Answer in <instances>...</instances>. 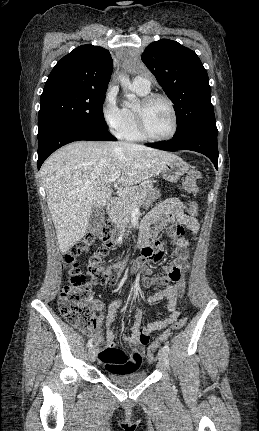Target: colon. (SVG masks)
Here are the masks:
<instances>
[{"instance_id":"1","label":"colon","mask_w":259,"mask_h":431,"mask_svg":"<svg viewBox=\"0 0 259 431\" xmlns=\"http://www.w3.org/2000/svg\"><path fill=\"white\" fill-rule=\"evenodd\" d=\"M201 173L196 168H192L184 181V188L187 192L196 194L198 192L197 181L200 180ZM189 215H198L199 207L194 202L189 203ZM176 235L184 233L182 225L173 227ZM100 242L101 245L92 253L86 261V274H84L78 264V258L91 245ZM116 240L114 227L111 223H105L94 232L87 234L80 242L70 248L63 255L62 264L68 275L67 282L60 289L58 298V308L64 318L73 326L83 330L91 331L98 326V319L93 313L94 305L90 300L92 284L106 285L115 283L124 267L126 260H122L112 265H104L103 259L115 246ZM164 257V251L157 242L150 243L141 249L142 261H160ZM89 278V280H88ZM186 323L185 318H179L165 330L148 348L147 361L152 362L156 351L163 342L169 340L173 333L181 330ZM150 334L142 332L140 341L144 345L148 344ZM132 367H127L123 371H132Z\"/></svg>"}]
</instances>
